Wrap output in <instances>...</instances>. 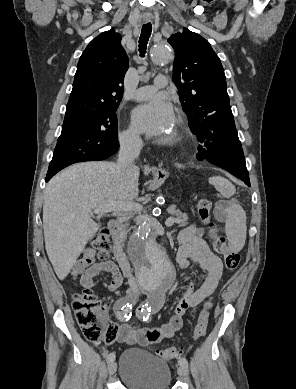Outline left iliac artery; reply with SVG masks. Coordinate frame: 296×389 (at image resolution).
<instances>
[{"mask_svg": "<svg viewBox=\"0 0 296 389\" xmlns=\"http://www.w3.org/2000/svg\"><path fill=\"white\" fill-rule=\"evenodd\" d=\"M154 312V309L148 305V303L141 304L139 309L137 310V316L139 318H142L144 321H147L149 316ZM179 365L187 366L188 367V361L186 358H180L179 359Z\"/></svg>", "mask_w": 296, "mask_h": 389, "instance_id": "44dca946", "label": "left iliac artery"}]
</instances>
